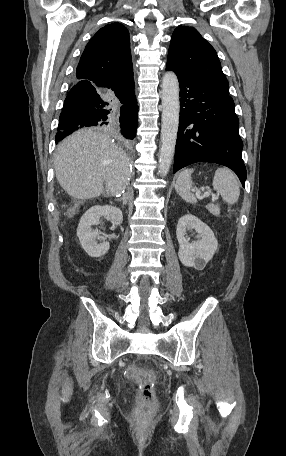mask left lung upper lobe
<instances>
[{
	"instance_id": "obj_1",
	"label": "left lung upper lobe",
	"mask_w": 286,
	"mask_h": 456,
	"mask_svg": "<svg viewBox=\"0 0 286 456\" xmlns=\"http://www.w3.org/2000/svg\"><path fill=\"white\" fill-rule=\"evenodd\" d=\"M167 66L202 79L229 94L215 49L193 27H177L171 38Z\"/></svg>"
}]
</instances>
